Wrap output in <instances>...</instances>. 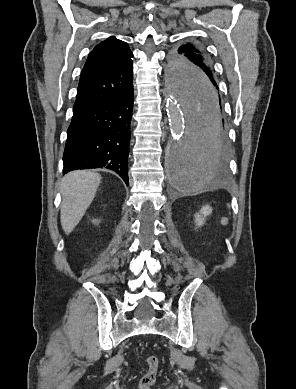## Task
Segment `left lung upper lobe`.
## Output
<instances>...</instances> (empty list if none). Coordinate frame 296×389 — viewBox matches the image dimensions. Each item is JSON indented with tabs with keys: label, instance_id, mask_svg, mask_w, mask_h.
Returning <instances> with one entry per match:
<instances>
[{
	"label": "left lung upper lobe",
	"instance_id": "1",
	"mask_svg": "<svg viewBox=\"0 0 296 389\" xmlns=\"http://www.w3.org/2000/svg\"><path fill=\"white\" fill-rule=\"evenodd\" d=\"M169 71L179 86L191 85L197 76L215 78L206 52L200 45L190 42L173 50Z\"/></svg>",
	"mask_w": 296,
	"mask_h": 389
}]
</instances>
